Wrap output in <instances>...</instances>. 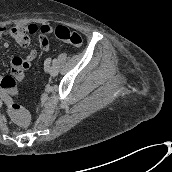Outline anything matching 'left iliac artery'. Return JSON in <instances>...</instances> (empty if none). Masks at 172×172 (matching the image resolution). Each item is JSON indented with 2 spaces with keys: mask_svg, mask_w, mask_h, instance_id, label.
I'll return each mask as SVG.
<instances>
[{
  "mask_svg": "<svg viewBox=\"0 0 172 172\" xmlns=\"http://www.w3.org/2000/svg\"><path fill=\"white\" fill-rule=\"evenodd\" d=\"M56 61H57V60H56V59H54V60H53V63H56Z\"/></svg>",
  "mask_w": 172,
  "mask_h": 172,
  "instance_id": "1",
  "label": "left iliac artery"
}]
</instances>
